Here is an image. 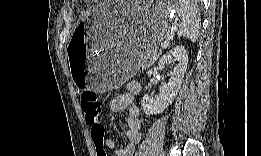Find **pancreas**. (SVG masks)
<instances>
[{"mask_svg": "<svg viewBox=\"0 0 261 156\" xmlns=\"http://www.w3.org/2000/svg\"><path fill=\"white\" fill-rule=\"evenodd\" d=\"M159 55H160V52L158 53L157 51L146 54V56L144 57V59L142 60V62L140 64L139 69H145V68L150 67L158 59Z\"/></svg>", "mask_w": 261, "mask_h": 156, "instance_id": "1", "label": "pancreas"}]
</instances>
